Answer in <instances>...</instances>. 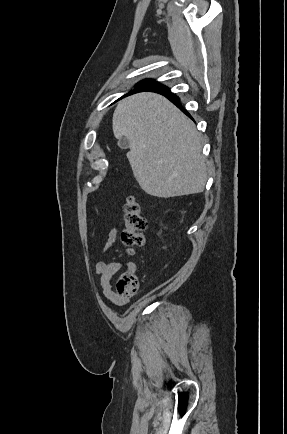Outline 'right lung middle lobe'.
I'll return each instance as SVG.
<instances>
[{
  "label": "right lung middle lobe",
  "mask_w": 287,
  "mask_h": 434,
  "mask_svg": "<svg viewBox=\"0 0 287 434\" xmlns=\"http://www.w3.org/2000/svg\"><path fill=\"white\" fill-rule=\"evenodd\" d=\"M155 84H158V83H156V82H151L149 79H145V80L139 82V83L137 84V87H140V86H150V85H155Z\"/></svg>",
  "instance_id": "right-lung-middle-lobe-1"
}]
</instances>
